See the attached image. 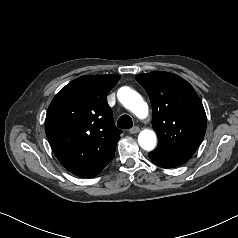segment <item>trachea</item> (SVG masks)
<instances>
[{
  "mask_svg": "<svg viewBox=\"0 0 238 238\" xmlns=\"http://www.w3.org/2000/svg\"><path fill=\"white\" fill-rule=\"evenodd\" d=\"M117 125L121 129H129L133 126V121L129 115H122L119 118Z\"/></svg>",
  "mask_w": 238,
  "mask_h": 238,
  "instance_id": "obj_1",
  "label": "trachea"
}]
</instances>
